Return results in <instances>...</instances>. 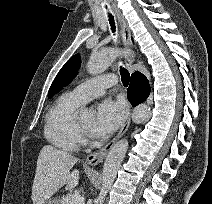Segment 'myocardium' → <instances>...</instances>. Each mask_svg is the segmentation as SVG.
Returning <instances> with one entry per match:
<instances>
[{"label":"myocardium","instance_id":"1","mask_svg":"<svg viewBox=\"0 0 212 204\" xmlns=\"http://www.w3.org/2000/svg\"><path fill=\"white\" fill-rule=\"evenodd\" d=\"M76 126H77V130L80 134L81 137L85 138V137H89V131L86 130L85 128H83L80 124L79 121L76 120Z\"/></svg>","mask_w":212,"mask_h":204}]
</instances>
